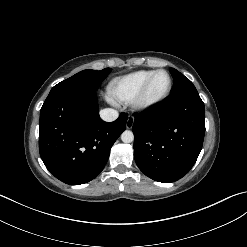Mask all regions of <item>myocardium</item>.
<instances>
[{"label":"myocardium","instance_id":"obj_1","mask_svg":"<svg viewBox=\"0 0 247 247\" xmlns=\"http://www.w3.org/2000/svg\"><path fill=\"white\" fill-rule=\"evenodd\" d=\"M165 74L168 79V84L165 89V91L157 96V97H151L150 96V89L152 86V83L155 79V77L158 74ZM172 89V78L170 74L166 70H156L154 73L148 78V80L145 82L143 88L141 89L140 93L137 95V97L133 100V105L135 108L139 110H146L152 107H155L156 105L160 104L162 101H164L168 95L170 94Z\"/></svg>","mask_w":247,"mask_h":247}]
</instances>
